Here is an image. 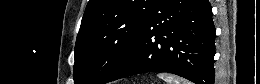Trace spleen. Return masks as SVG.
I'll use <instances>...</instances> for the list:
<instances>
[{
    "label": "spleen",
    "mask_w": 260,
    "mask_h": 84,
    "mask_svg": "<svg viewBox=\"0 0 260 84\" xmlns=\"http://www.w3.org/2000/svg\"><path fill=\"white\" fill-rule=\"evenodd\" d=\"M158 77L163 79L167 84H191L186 79H183L181 77H177V76L172 75L170 73H159Z\"/></svg>",
    "instance_id": "obj_1"
}]
</instances>
